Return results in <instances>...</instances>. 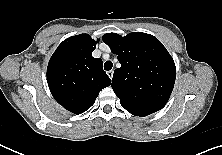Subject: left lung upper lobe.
I'll return each instance as SVG.
<instances>
[{
	"label": "left lung upper lobe",
	"instance_id": "1",
	"mask_svg": "<svg viewBox=\"0 0 222 155\" xmlns=\"http://www.w3.org/2000/svg\"><path fill=\"white\" fill-rule=\"evenodd\" d=\"M102 39L121 63L112 79L120 104L141 117L162 109L176 78L174 60L163 44L156 37L141 32L125 37L108 33Z\"/></svg>",
	"mask_w": 222,
	"mask_h": 155
}]
</instances>
